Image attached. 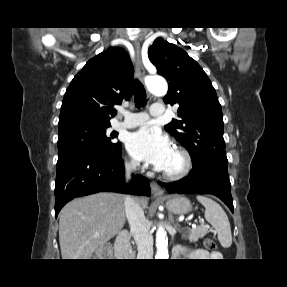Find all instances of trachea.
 <instances>
[{
    "instance_id": "3493384b",
    "label": "trachea",
    "mask_w": 287,
    "mask_h": 287,
    "mask_svg": "<svg viewBox=\"0 0 287 287\" xmlns=\"http://www.w3.org/2000/svg\"><path fill=\"white\" fill-rule=\"evenodd\" d=\"M133 93H134V99H135V106L137 108L144 106L147 102L146 91H145L143 84L139 80H135L134 82Z\"/></svg>"
}]
</instances>
